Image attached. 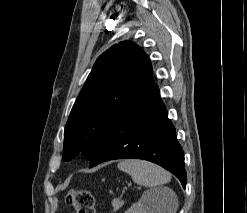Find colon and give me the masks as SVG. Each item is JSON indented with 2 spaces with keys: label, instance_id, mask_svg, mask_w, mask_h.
<instances>
[{
  "label": "colon",
  "instance_id": "obj_1",
  "mask_svg": "<svg viewBox=\"0 0 247 213\" xmlns=\"http://www.w3.org/2000/svg\"><path fill=\"white\" fill-rule=\"evenodd\" d=\"M66 203L72 206L77 213H96L94 197L88 190H70Z\"/></svg>",
  "mask_w": 247,
  "mask_h": 213
}]
</instances>
